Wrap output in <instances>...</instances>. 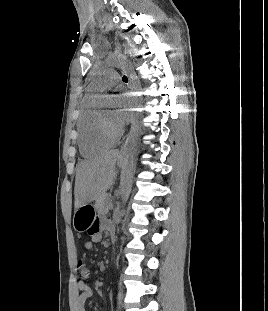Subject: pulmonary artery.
Here are the masks:
<instances>
[{
	"instance_id": "e3ab8cb5",
	"label": "pulmonary artery",
	"mask_w": 268,
	"mask_h": 311,
	"mask_svg": "<svg viewBox=\"0 0 268 311\" xmlns=\"http://www.w3.org/2000/svg\"><path fill=\"white\" fill-rule=\"evenodd\" d=\"M119 79L120 77L117 72L112 70L105 71L91 83L90 89L92 91L106 90L113 87Z\"/></svg>"
}]
</instances>
